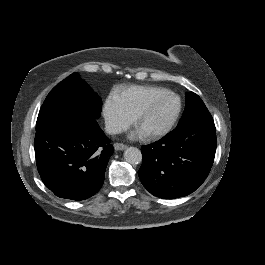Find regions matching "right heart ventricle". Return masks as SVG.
Instances as JSON below:
<instances>
[{"label": "right heart ventricle", "instance_id": "e07e8e85", "mask_svg": "<svg viewBox=\"0 0 265 265\" xmlns=\"http://www.w3.org/2000/svg\"><path fill=\"white\" fill-rule=\"evenodd\" d=\"M160 88L151 86H131L113 96V100L127 115L135 118L147 99Z\"/></svg>", "mask_w": 265, "mask_h": 265}]
</instances>
